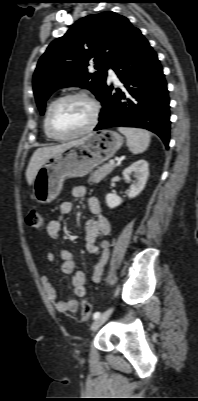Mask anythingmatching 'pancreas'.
<instances>
[{
	"mask_svg": "<svg viewBox=\"0 0 198 401\" xmlns=\"http://www.w3.org/2000/svg\"><path fill=\"white\" fill-rule=\"evenodd\" d=\"M115 168V165H111L110 163L104 164L101 167H98L97 170H95L88 182L90 184H97L99 183L101 180H103L108 174H110L112 172V170Z\"/></svg>",
	"mask_w": 198,
	"mask_h": 401,
	"instance_id": "obj_1",
	"label": "pancreas"
}]
</instances>
